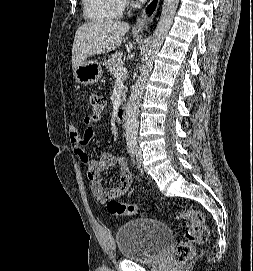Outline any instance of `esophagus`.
Segmentation results:
<instances>
[{"label":"esophagus","mask_w":253,"mask_h":271,"mask_svg":"<svg viewBox=\"0 0 253 271\" xmlns=\"http://www.w3.org/2000/svg\"><path fill=\"white\" fill-rule=\"evenodd\" d=\"M161 0H150L146 7L143 9L141 14L138 16L135 28L139 31L145 29V27L154 19L156 16Z\"/></svg>","instance_id":"1"}]
</instances>
